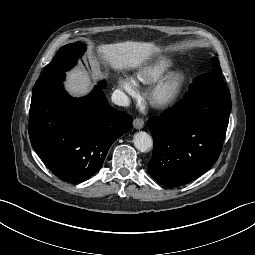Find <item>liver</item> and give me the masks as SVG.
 <instances>
[{
	"label": "liver",
	"mask_w": 255,
	"mask_h": 255,
	"mask_svg": "<svg viewBox=\"0 0 255 255\" xmlns=\"http://www.w3.org/2000/svg\"><path fill=\"white\" fill-rule=\"evenodd\" d=\"M159 51L160 49L153 43L134 41L101 44L97 47V52L103 62L118 70L137 68L147 61L151 55ZM90 61L94 73L96 75L100 74L96 57L90 55ZM91 85L90 76L82 66L70 71L65 83L66 90L75 96L87 94L90 91Z\"/></svg>",
	"instance_id": "liver-1"
}]
</instances>
